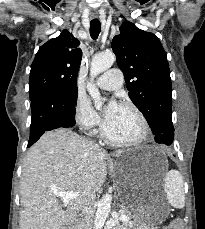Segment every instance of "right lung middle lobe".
Instances as JSON below:
<instances>
[{
	"instance_id": "right-lung-middle-lobe-1",
	"label": "right lung middle lobe",
	"mask_w": 205,
	"mask_h": 229,
	"mask_svg": "<svg viewBox=\"0 0 205 229\" xmlns=\"http://www.w3.org/2000/svg\"><path fill=\"white\" fill-rule=\"evenodd\" d=\"M66 91L77 98V86L76 85H67Z\"/></svg>"
}]
</instances>
